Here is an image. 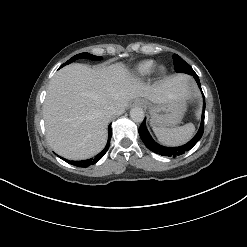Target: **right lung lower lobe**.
<instances>
[{
	"instance_id": "obj_1",
	"label": "right lung lower lobe",
	"mask_w": 247,
	"mask_h": 247,
	"mask_svg": "<svg viewBox=\"0 0 247 247\" xmlns=\"http://www.w3.org/2000/svg\"><path fill=\"white\" fill-rule=\"evenodd\" d=\"M111 136H112V130H111V124L108 127V141L107 144L105 146V148L94 158L88 159V160H82V161H69L67 160V162L69 164L78 166V167H88L92 164H95L96 162H98L107 152L109 146H110V140H111ZM63 159V158H61Z\"/></svg>"
}]
</instances>
